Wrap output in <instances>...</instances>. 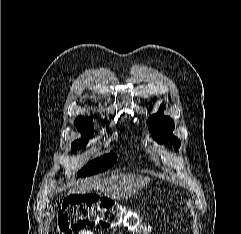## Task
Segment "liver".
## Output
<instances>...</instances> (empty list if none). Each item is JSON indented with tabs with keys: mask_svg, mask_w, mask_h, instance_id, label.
I'll list each match as a JSON object with an SVG mask.
<instances>
[{
	"mask_svg": "<svg viewBox=\"0 0 241 234\" xmlns=\"http://www.w3.org/2000/svg\"><path fill=\"white\" fill-rule=\"evenodd\" d=\"M150 178L135 174H119L102 179L85 181L77 185L70 193H89L93 189L100 190L105 196L113 200L128 199L131 195L142 189Z\"/></svg>",
	"mask_w": 241,
	"mask_h": 234,
	"instance_id": "6515ba94",
	"label": "liver"
}]
</instances>
